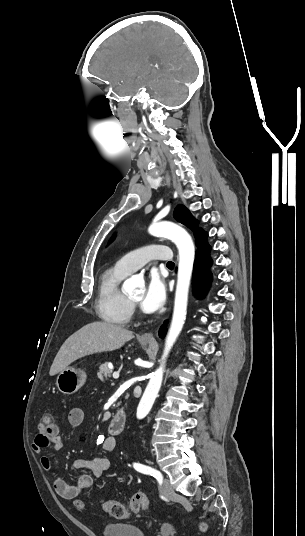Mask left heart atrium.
Wrapping results in <instances>:
<instances>
[{
  "instance_id": "39dd6f15",
  "label": "left heart atrium",
  "mask_w": 305,
  "mask_h": 536,
  "mask_svg": "<svg viewBox=\"0 0 305 536\" xmlns=\"http://www.w3.org/2000/svg\"><path fill=\"white\" fill-rule=\"evenodd\" d=\"M164 299V283L155 272H152L149 275L146 290L140 303L141 307L146 312H154L162 306Z\"/></svg>"
}]
</instances>
